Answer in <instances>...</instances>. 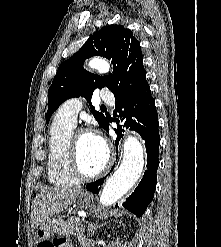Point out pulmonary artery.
Instances as JSON below:
<instances>
[{"label":"pulmonary artery","instance_id":"obj_1","mask_svg":"<svg viewBox=\"0 0 221 247\" xmlns=\"http://www.w3.org/2000/svg\"><path fill=\"white\" fill-rule=\"evenodd\" d=\"M100 98L107 103L114 101L113 94L108 90L101 91ZM81 109L82 101L78 98H72L62 104L55 117L61 122L74 127L76 125L77 115Z\"/></svg>","mask_w":221,"mask_h":247}]
</instances>
